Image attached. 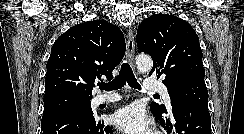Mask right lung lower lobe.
<instances>
[{"label": "right lung lower lobe", "mask_w": 244, "mask_h": 134, "mask_svg": "<svg viewBox=\"0 0 244 134\" xmlns=\"http://www.w3.org/2000/svg\"><path fill=\"white\" fill-rule=\"evenodd\" d=\"M43 134H113L110 126H104L93 114L72 110L53 115L41 123Z\"/></svg>", "instance_id": "1"}]
</instances>
